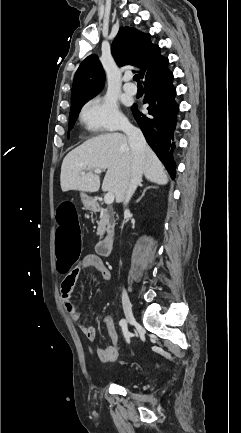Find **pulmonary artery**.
<instances>
[{
  "instance_id": "obj_1",
  "label": "pulmonary artery",
  "mask_w": 241,
  "mask_h": 433,
  "mask_svg": "<svg viewBox=\"0 0 241 433\" xmlns=\"http://www.w3.org/2000/svg\"><path fill=\"white\" fill-rule=\"evenodd\" d=\"M129 77H126V83L124 84V91L128 94L134 95L137 92V88L132 83L128 82Z\"/></svg>"
}]
</instances>
